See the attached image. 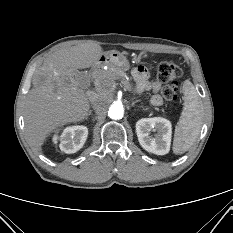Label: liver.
Masks as SVG:
<instances>
[{"instance_id":"obj_1","label":"liver","mask_w":233,"mask_h":233,"mask_svg":"<svg viewBox=\"0 0 233 233\" xmlns=\"http://www.w3.org/2000/svg\"><path fill=\"white\" fill-rule=\"evenodd\" d=\"M101 52L97 42L64 47L36 70L24 109L25 131L33 146L41 148L52 132L87 116L89 99L79 87L76 72L96 64Z\"/></svg>"}]
</instances>
